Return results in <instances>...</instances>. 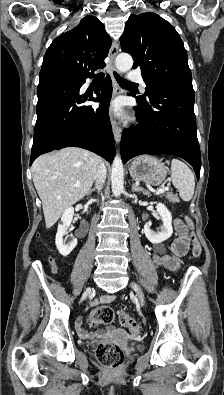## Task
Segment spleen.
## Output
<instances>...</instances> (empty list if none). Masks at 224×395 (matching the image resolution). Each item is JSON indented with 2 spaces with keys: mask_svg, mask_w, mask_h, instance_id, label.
<instances>
[{
  "mask_svg": "<svg viewBox=\"0 0 224 395\" xmlns=\"http://www.w3.org/2000/svg\"><path fill=\"white\" fill-rule=\"evenodd\" d=\"M171 179L173 185L178 189L181 199L190 201L195 189V179L191 169L182 161L172 159Z\"/></svg>",
  "mask_w": 224,
  "mask_h": 395,
  "instance_id": "spleen-1",
  "label": "spleen"
}]
</instances>
